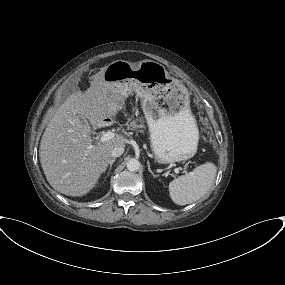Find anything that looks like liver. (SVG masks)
<instances>
[{
	"instance_id": "liver-1",
	"label": "liver",
	"mask_w": 285,
	"mask_h": 285,
	"mask_svg": "<svg viewBox=\"0 0 285 285\" xmlns=\"http://www.w3.org/2000/svg\"><path fill=\"white\" fill-rule=\"evenodd\" d=\"M106 67L94 75L85 92L77 91L65 100L41 138L39 156L46 179L67 196L88 194L106 170L113 148L125 146L123 135L93 145L90 128L78 118L98 129L124 108L128 94L104 81Z\"/></svg>"
}]
</instances>
